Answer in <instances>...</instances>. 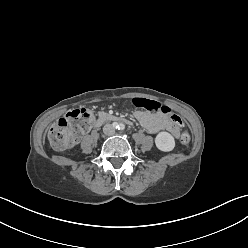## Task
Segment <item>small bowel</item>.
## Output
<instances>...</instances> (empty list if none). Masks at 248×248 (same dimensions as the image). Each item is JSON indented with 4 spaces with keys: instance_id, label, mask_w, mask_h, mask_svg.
I'll return each instance as SVG.
<instances>
[{
    "instance_id": "1",
    "label": "small bowel",
    "mask_w": 248,
    "mask_h": 248,
    "mask_svg": "<svg viewBox=\"0 0 248 248\" xmlns=\"http://www.w3.org/2000/svg\"><path fill=\"white\" fill-rule=\"evenodd\" d=\"M134 116L144 129L151 134L168 131L176 138L180 135L181 125L175 123L169 114H163L160 112L151 113L138 110L134 112Z\"/></svg>"
}]
</instances>
